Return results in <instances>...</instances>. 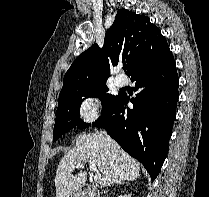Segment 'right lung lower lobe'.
<instances>
[{"instance_id":"obj_1","label":"right lung lower lobe","mask_w":209,"mask_h":197,"mask_svg":"<svg viewBox=\"0 0 209 197\" xmlns=\"http://www.w3.org/2000/svg\"><path fill=\"white\" fill-rule=\"evenodd\" d=\"M138 93L129 99L121 93L92 123L108 134L131 156L140 161L154 181L167 156L168 141L176 117L179 81L172 52L131 77ZM131 101L133 108H128Z\"/></svg>"}]
</instances>
